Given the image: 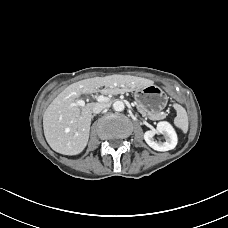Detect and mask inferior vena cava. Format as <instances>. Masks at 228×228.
Masks as SVG:
<instances>
[{
	"label": "inferior vena cava",
	"mask_w": 228,
	"mask_h": 228,
	"mask_svg": "<svg viewBox=\"0 0 228 228\" xmlns=\"http://www.w3.org/2000/svg\"><path fill=\"white\" fill-rule=\"evenodd\" d=\"M109 107L108 103H96L92 109L94 114H98Z\"/></svg>",
	"instance_id": "602c4592"
}]
</instances>
